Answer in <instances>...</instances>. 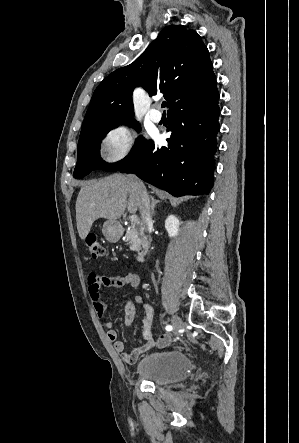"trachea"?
Listing matches in <instances>:
<instances>
[{"instance_id":"trachea-1","label":"trachea","mask_w":299,"mask_h":443,"mask_svg":"<svg viewBox=\"0 0 299 443\" xmlns=\"http://www.w3.org/2000/svg\"><path fill=\"white\" fill-rule=\"evenodd\" d=\"M162 107H163V108L166 107V102H165V101L162 102Z\"/></svg>"}]
</instances>
